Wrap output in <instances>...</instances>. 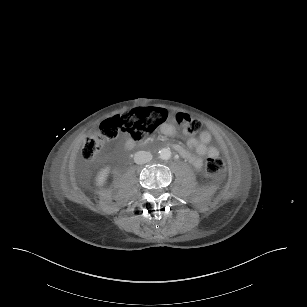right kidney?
Segmentation results:
<instances>
[{"mask_svg":"<svg viewBox=\"0 0 307 307\" xmlns=\"http://www.w3.org/2000/svg\"><path fill=\"white\" fill-rule=\"evenodd\" d=\"M109 174H110L109 168L101 170L95 178L96 187L102 188L106 184Z\"/></svg>","mask_w":307,"mask_h":307,"instance_id":"1","label":"right kidney"}]
</instances>
